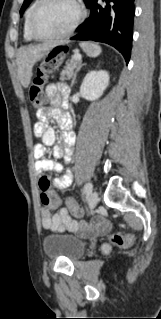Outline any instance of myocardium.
Masks as SVG:
<instances>
[{"mask_svg": "<svg viewBox=\"0 0 161 319\" xmlns=\"http://www.w3.org/2000/svg\"><path fill=\"white\" fill-rule=\"evenodd\" d=\"M69 1L73 4V6L75 7V10H76L75 17L72 20V22L70 23V25L65 30H63L62 32H60L58 34L50 35V36H41V35H38L34 29V20H35L37 13L40 10V8L46 2H48V0H39L38 3L36 4V6L34 7L32 13L30 15V19H29V33H30L31 37L35 40L49 41V40H56V39L64 38V37L68 36L69 34H71L76 29V27L79 25L81 20L83 19L84 8L81 5L79 0H69Z\"/></svg>", "mask_w": 161, "mask_h": 319, "instance_id": "myocardium-1", "label": "myocardium"}]
</instances>
